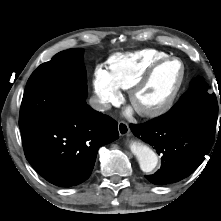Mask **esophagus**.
Masks as SVG:
<instances>
[{
  "label": "esophagus",
  "mask_w": 221,
  "mask_h": 221,
  "mask_svg": "<svg viewBox=\"0 0 221 221\" xmlns=\"http://www.w3.org/2000/svg\"><path fill=\"white\" fill-rule=\"evenodd\" d=\"M118 132L121 136L128 135L130 132V128L126 122L120 121L118 123Z\"/></svg>",
  "instance_id": "obj_1"
}]
</instances>
